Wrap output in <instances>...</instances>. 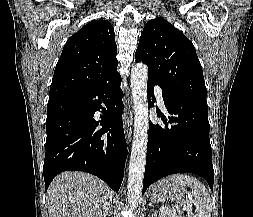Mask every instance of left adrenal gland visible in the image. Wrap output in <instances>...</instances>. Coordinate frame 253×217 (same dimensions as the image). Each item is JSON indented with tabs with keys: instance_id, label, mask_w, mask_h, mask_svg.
Instances as JSON below:
<instances>
[{
	"instance_id": "a2214340",
	"label": "left adrenal gland",
	"mask_w": 253,
	"mask_h": 217,
	"mask_svg": "<svg viewBox=\"0 0 253 217\" xmlns=\"http://www.w3.org/2000/svg\"><path fill=\"white\" fill-rule=\"evenodd\" d=\"M152 202H154V199H153V198H151V203H150V205L152 204ZM156 214H157V210H154V215H153L152 217H155Z\"/></svg>"
}]
</instances>
